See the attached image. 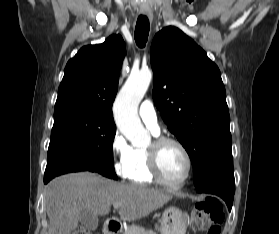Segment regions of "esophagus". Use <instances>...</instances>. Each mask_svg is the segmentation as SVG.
Masks as SVG:
<instances>
[{"instance_id":"1","label":"esophagus","mask_w":279,"mask_h":234,"mask_svg":"<svg viewBox=\"0 0 279 234\" xmlns=\"http://www.w3.org/2000/svg\"><path fill=\"white\" fill-rule=\"evenodd\" d=\"M141 14L142 15H144V16H146V17H148L149 18V20L150 21H152V19H153V14H152V12H150V11H141Z\"/></svg>"}]
</instances>
